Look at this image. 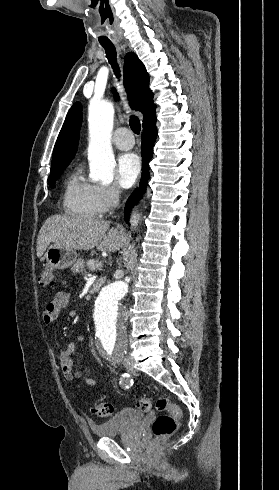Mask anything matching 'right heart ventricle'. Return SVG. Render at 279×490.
Segmentation results:
<instances>
[{
	"instance_id": "obj_1",
	"label": "right heart ventricle",
	"mask_w": 279,
	"mask_h": 490,
	"mask_svg": "<svg viewBox=\"0 0 279 490\" xmlns=\"http://www.w3.org/2000/svg\"><path fill=\"white\" fill-rule=\"evenodd\" d=\"M64 207L69 215L92 219L97 215L92 204V187L75 172L68 177L64 191Z\"/></svg>"
}]
</instances>
